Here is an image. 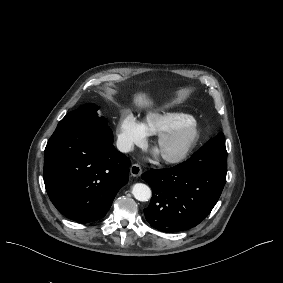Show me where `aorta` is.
I'll return each mask as SVG.
<instances>
[{"mask_svg": "<svg viewBox=\"0 0 283 283\" xmlns=\"http://www.w3.org/2000/svg\"><path fill=\"white\" fill-rule=\"evenodd\" d=\"M132 194L138 201L141 202L148 201L152 196L151 189L143 183L134 184L132 187Z\"/></svg>", "mask_w": 283, "mask_h": 283, "instance_id": "1", "label": "aorta"}]
</instances>
